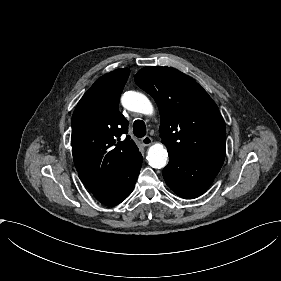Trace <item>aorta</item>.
Masks as SVG:
<instances>
[{"mask_svg":"<svg viewBox=\"0 0 281 281\" xmlns=\"http://www.w3.org/2000/svg\"><path fill=\"white\" fill-rule=\"evenodd\" d=\"M121 103L129 111L145 115L152 114L153 112L150 100L144 94L136 91L125 92L121 97ZM146 159L152 168H164L168 160L167 150L162 143H155L148 149Z\"/></svg>","mask_w":281,"mask_h":281,"instance_id":"aorta-1","label":"aorta"}]
</instances>
